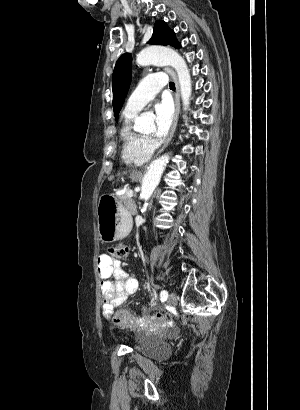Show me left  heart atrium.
Returning a JSON list of instances; mask_svg holds the SVG:
<instances>
[{
  "mask_svg": "<svg viewBox=\"0 0 300 410\" xmlns=\"http://www.w3.org/2000/svg\"><path fill=\"white\" fill-rule=\"evenodd\" d=\"M154 116L156 124V136L158 138L165 137L172 125L173 109L169 102L162 101L154 106Z\"/></svg>",
  "mask_w": 300,
  "mask_h": 410,
  "instance_id": "left-heart-atrium-1",
  "label": "left heart atrium"
}]
</instances>
